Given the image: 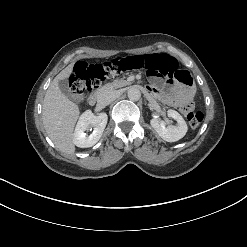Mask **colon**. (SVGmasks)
I'll use <instances>...</instances> for the list:
<instances>
[{
  "mask_svg": "<svg viewBox=\"0 0 247 247\" xmlns=\"http://www.w3.org/2000/svg\"><path fill=\"white\" fill-rule=\"evenodd\" d=\"M155 70L178 82L192 85L189 72L179 68L177 61L167 54L128 56L103 63L78 62L70 77V89L75 97H81L97 88L106 78L134 70ZM189 126L199 127L203 121L200 111L187 114Z\"/></svg>",
  "mask_w": 247,
  "mask_h": 247,
  "instance_id": "colon-1",
  "label": "colon"
}]
</instances>
